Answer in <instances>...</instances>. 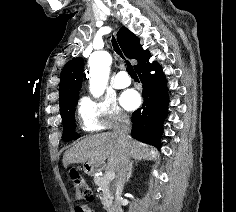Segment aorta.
<instances>
[{"instance_id": "aorta-1", "label": "aorta", "mask_w": 236, "mask_h": 212, "mask_svg": "<svg viewBox=\"0 0 236 212\" xmlns=\"http://www.w3.org/2000/svg\"><path fill=\"white\" fill-rule=\"evenodd\" d=\"M90 92L94 97L101 96L107 86L112 58L106 51L93 53L89 58Z\"/></svg>"}]
</instances>
